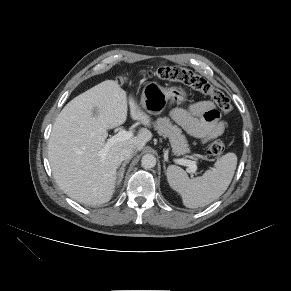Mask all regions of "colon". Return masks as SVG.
Here are the masks:
<instances>
[{"instance_id": "5ec220e1", "label": "colon", "mask_w": 291, "mask_h": 291, "mask_svg": "<svg viewBox=\"0 0 291 291\" xmlns=\"http://www.w3.org/2000/svg\"><path fill=\"white\" fill-rule=\"evenodd\" d=\"M147 76L156 77L169 82L183 83L210 97L222 113L228 114L232 110L230 100L221 90L214 87L204 77L188 69L174 66H162L149 71ZM224 149V143L221 140H215L209 145L207 152L210 156H219L223 153Z\"/></svg>"}]
</instances>
